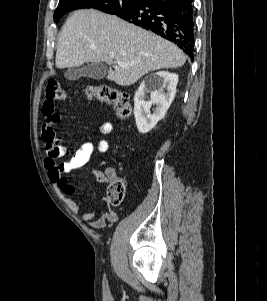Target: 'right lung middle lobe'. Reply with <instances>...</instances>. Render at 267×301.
<instances>
[{
  "label": "right lung middle lobe",
  "mask_w": 267,
  "mask_h": 301,
  "mask_svg": "<svg viewBox=\"0 0 267 301\" xmlns=\"http://www.w3.org/2000/svg\"><path fill=\"white\" fill-rule=\"evenodd\" d=\"M139 0H60L54 13L57 22L66 12L80 8L98 9L109 14H120L133 8Z\"/></svg>",
  "instance_id": "1"
}]
</instances>
